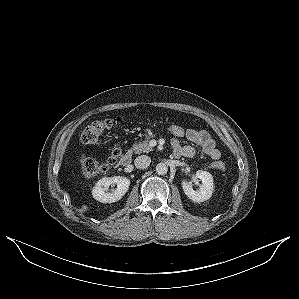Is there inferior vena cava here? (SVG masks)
Listing matches in <instances>:
<instances>
[{
	"mask_svg": "<svg viewBox=\"0 0 299 299\" xmlns=\"http://www.w3.org/2000/svg\"><path fill=\"white\" fill-rule=\"evenodd\" d=\"M134 163L138 169H145L150 165L151 158L146 155H141L134 160Z\"/></svg>",
	"mask_w": 299,
	"mask_h": 299,
	"instance_id": "inferior-vena-cava-1",
	"label": "inferior vena cava"
}]
</instances>
